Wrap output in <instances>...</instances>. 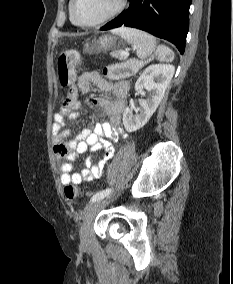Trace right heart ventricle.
Masks as SVG:
<instances>
[{
    "mask_svg": "<svg viewBox=\"0 0 233 284\" xmlns=\"http://www.w3.org/2000/svg\"><path fill=\"white\" fill-rule=\"evenodd\" d=\"M70 18H71L72 23L76 24V23L74 22V20L72 19L71 14H70Z\"/></svg>",
    "mask_w": 233,
    "mask_h": 284,
    "instance_id": "right-heart-ventricle-1",
    "label": "right heart ventricle"
}]
</instances>
